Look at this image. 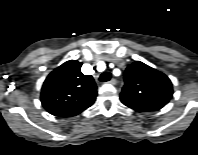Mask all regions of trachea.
I'll return each instance as SVG.
<instances>
[{"label": "trachea", "instance_id": "trachea-1", "mask_svg": "<svg viewBox=\"0 0 198 155\" xmlns=\"http://www.w3.org/2000/svg\"><path fill=\"white\" fill-rule=\"evenodd\" d=\"M110 78H111V73H109V72H104V73H102V74L100 75L99 80H100L101 82H107V81L110 80Z\"/></svg>", "mask_w": 198, "mask_h": 155}]
</instances>
